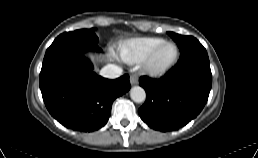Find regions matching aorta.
<instances>
[{
  "label": "aorta",
  "instance_id": "aorta-1",
  "mask_svg": "<svg viewBox=\"0 0 258 158\" xmlns=\"http://www.w3.org/2000/svg\"><path fill=\"white\" fill-rule=\"evenodd\" d=\"M130 97L136 103H142L146 99L145 90L139 86H134L130 90Z\"/></svg>",
  "mask_w": 258,
  "mask_h": 158
}]
</instances>
